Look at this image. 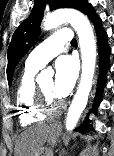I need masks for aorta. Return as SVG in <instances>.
Masks as SVG:
<instances>
[{
	"instance_id": "obj_1",
	"label": "aorta",
	"mask_w": 114,
	"mask_h": 156,
	"mask_svg": "<svg viewBox=\"0 0 114 156\" xmlns=\"http://www.w3.org/2000/svg\"><path fill=\"white\" fill-rule=\"evenodd\" d=\"M65 22L70 23L78 34L82 58L81 80L66 118V129L73 130L87 105L92 88L96 63V40L87 17L74 9H60L47 15L43 27L45 30H50ZM47 75L51 76L52 72L44 70L38 79L40 80Z\"/></svg>"
}]
</instances>
